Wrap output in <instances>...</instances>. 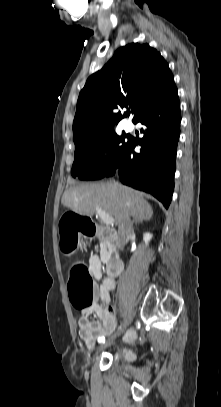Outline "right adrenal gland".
I'll return each mask as SVG.
<instances>
[{"instance_id": "right-adrenal-gland-1", "label": "right adrenal gland", "mask_w": 221, "mask_h": 407, "mask_svg": "<svg viewBox=\"0 0 221 407\" xmlns=\"http://www.w3.org/2000/svg\"><path fill=\"white\" fill-rule=\"evenodd\" d=\"M133 223L134 224H139V223H142V220H140L138 218H134Z\"/></svg>"}]
</instances>
